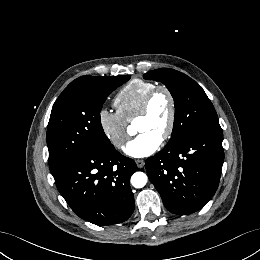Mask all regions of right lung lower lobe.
<instances>
[{"instance_id":"98d812e1","label":"right lung lower lobe","mask_w":260,"mask_h":260,"mask_svg":"<svg viewBox=\"0 0 260 260\" xmlns=\"http://www.w3.org/2000/svg\"><path fill=\"white\" fill-rule=\"evenodd\" d=\"M136 169L134 160L113 147L104 153L73 155L51 173L60 194L79 217L107 226L124 222L133 213L129 181Z\"/></svg>"}]
</instances>
